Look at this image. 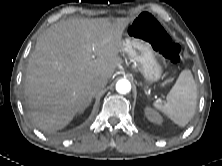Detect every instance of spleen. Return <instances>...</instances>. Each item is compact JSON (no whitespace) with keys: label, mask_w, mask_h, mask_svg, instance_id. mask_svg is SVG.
Wrapping results in <instances>:
<instances>
[{"label":"spleen","mask_w":222,"mask_h":166,"mask_svg":"<svg viewBox=\"0 0 222 166\" xmlns=\"http://www.w3.org/2000/svg\"><path fill=\"white\" fill-rule=\"evenodd\" d=\"M197 104V87L190 70H183L167 94L166 102L157 101L154 107L175 124L184 127L193 118Z\"/></svg>","instance_id":"3e777b00"}]
</instances>
